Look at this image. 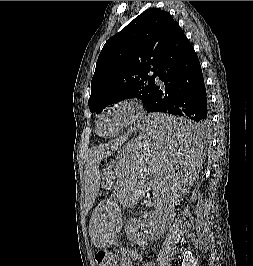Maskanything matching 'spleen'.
I'll list each match as a JSON object with an SVG mask.
<instances>
[{"label":"spleen","instance_id":"3e777b00","mask_svg":"<svg viewBox=\"0 0 253 266\" xmlns=\"http://www.w3.org/2000/svg\"><path fill=\"white\" fill-rule=\"evenodd\" d=\"M139 125L140 145L133 156L116 161L119 185L114 194L122 210H143L155 204L156 210H169L180 204L185 190L198 174L203 159L202 123L179 113H158L144 117ZM120 207H97L90 220V235L95 246L119 248L123 240Z\"/></svg>","mask_w":253,"mask_h":266}]
</instances>
